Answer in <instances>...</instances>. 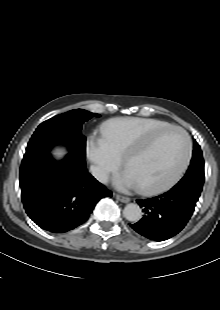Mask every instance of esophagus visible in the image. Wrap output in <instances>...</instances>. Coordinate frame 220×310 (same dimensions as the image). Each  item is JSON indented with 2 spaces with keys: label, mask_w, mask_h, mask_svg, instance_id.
Masks as SVG:
<instances>
[{
  "label": "esophagus",
  "mask_w": 220,
  "mask_h": 310,
  "mask_svg": "<svg viewBox=\"0 0 220 310\" xmlns=\"http://www.w3.org/2000/svg\"><path fill=\"white\" fill-rule=\"evenodd\" d=\"M118 197H120V196H118ZM122 201H127V199L123 197V198H122Z\"/></svg>",
  "instance_id": "esophagus-1"
}]
</instances>
